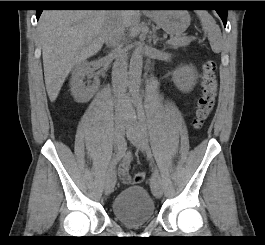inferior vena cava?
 Instances as JSON below:
<instances>
[{"label":"inferior vena cava","mask_w":265,"mask_h":245,"mask_svg":"<svg viewBox=\"0 0 265 245\" xmlns=\"http://www.w3.org/2000/svg\"><path fill=\"white\" fill-rule=\"evenodd\" d=\"M125 25L120 12H115L105 30V43L111 48L110 56L115 60L112 68V84L115 96V112L121 116L130 108L126 97L128 85L127 53L123 49Z\"/></svg>","instance_id":"obj_1"}]
</instances>
